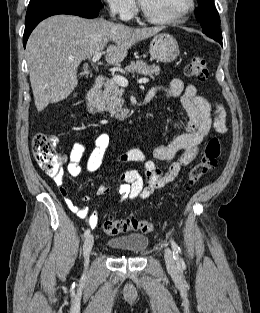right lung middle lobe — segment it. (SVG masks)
I'll return each instance as SVG.
<instances>
[{"label": "right lung middle lobe", "mask_w": 260, "mask_h": 313, "mask_svg": "<svg viewBox=\"0 0 260 313\" xmlns=\"http://www.w3.org/2000/svg\"><path fill=\"white\" fill-rule=\"evenodd\" d=\"M33 1V0H30ZM77 2H84V3H88L94 6H98V7H103L102 3L100 2V0H74Z\"/></svg>", "instance_id": "dd1d6c3e"}]
</instances>
